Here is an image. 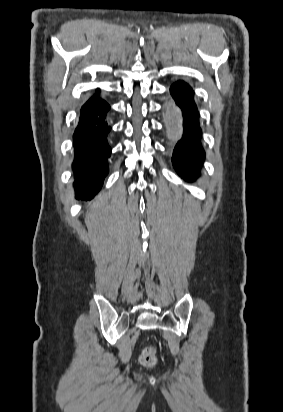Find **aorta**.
<instances>
[{"label":"aorta","instance_id":"obj_1","mask_svg":"<svg viewBox=\"0 0 283 412\" xmlns=\"http://www.w3.org/2000/svg\"><path fill=\"white\" fill-rule=\"evenodd\" d=\"M178 113H179V111L177 110V111H175V115H176V117H178Z\"/></svg>","mask_w":283,"mask_h":412}]
</instances>
